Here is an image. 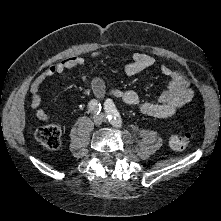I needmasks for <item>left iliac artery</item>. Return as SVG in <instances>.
<instances>
[{
  "label": "left iliac artery",
  "instance_id": "44dca946",
  "mask_svg": "<svg viewBox=\"0 0 221 221\" xmlns=\"http://www.w3.org/2000/svg\"><path fill=\"white\" fill-rule=\"evenodd\" d=\"M105 112L107 114V118L109 122L115 126V127H121L122 126V118L117 111L114 103L111 99H107L105 102Z\"/></svg>",
  "mask_w": 221,
  "mask_h": 221
}]
</instances>
